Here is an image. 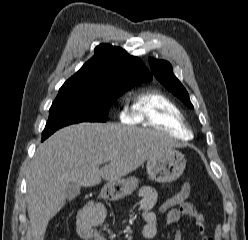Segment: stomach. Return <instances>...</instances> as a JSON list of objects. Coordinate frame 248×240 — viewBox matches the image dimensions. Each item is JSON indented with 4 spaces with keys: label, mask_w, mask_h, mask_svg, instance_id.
<instances>
[{
    "label": "stomach",
    "mask_w": 248,
    "mask_h": 240,
    "mask_svg": "<svg viewBox=\"0 0 248 240\" xmlns=\"http://www.w3.org/2000/svg\"><path fill=\"white\" fill-rule=\"evenodd\" d=\"M186 166L184 155L177 150H168L147 161L146 169L153 181L169 183L175 181L183 173ZM138 187V179L129 177L117 181H109L101 190L100 196L115 201L131 194Z\"/></svg>",
    "instance_id": "stomach-1"
}]
</instances>
